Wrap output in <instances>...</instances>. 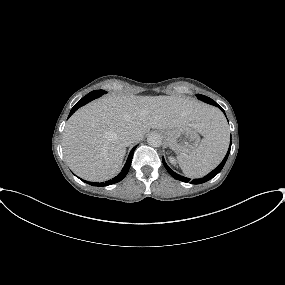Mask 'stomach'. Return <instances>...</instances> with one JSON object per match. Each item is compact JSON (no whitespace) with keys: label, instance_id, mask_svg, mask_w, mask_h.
I'll use <instances>...</instances> for the list:
<instances>
[{"label":"stomach","instance_id":"stomach-1","mask_svg":"<svg viewBox=\"0 0 285 285\" xmlns=\"http://www.w3.org/2000/svg\"><path fill=\"white\" fill-rule=\"evenodd\" d=\"M163 133L168 146L180 155L191 154L200 142L199 134L190 127L168 129Z\"/></svg>","mask_w":285,"mask_h":285}]
</instances>
